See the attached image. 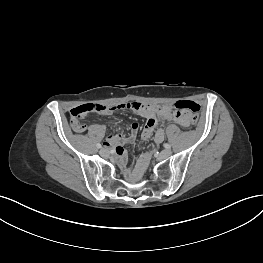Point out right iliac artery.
<instances>
[{"instance_id":"right-iliac-artery-1","label":"right iliac artery","mask_w":263,"mask_h":263,"mask_svg":"<svg viewBox=\"0 0 263 263\" xmlns=\"http://www.w3.org/2000/svg\"><path fill=\"white\" fill-rule=\"evenodd\" d=\"M96 146H97V148H101L102 147V145L100 143H98Z\"/></svg>"}]
</instances>
